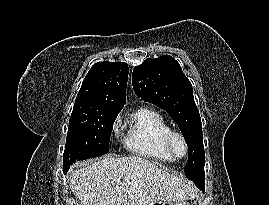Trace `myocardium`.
I'll list each match as a JSON object with an SVG mask.
<instances>
[{
  "label": "myocardium",
  "instance_id": "myocardium-1",
  "mask_svg": "<svg viewBox=\"0 0 269 205\" xmlns=\"http://www.w3.org/2000/svg\"><path fill=\"white\" fill-rule=\"evenodd\" d=\"M176 138H179L184 144L185 151L183 155H178L174 149V140ZM163 147L167 151V153L174 159H183L189 153V143L186 136L182 132L177 131V130L171 129L164 135Z\"/></svg>",
  "mask_w": 269,
  "mask_h": 205
}]
</instances>
